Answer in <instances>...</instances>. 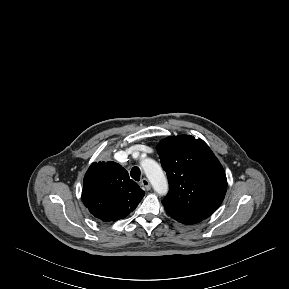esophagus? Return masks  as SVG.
I'll list each match as a JSON object with an SVG mask.
<instances>
[{"instance_id": "1", "label": "esophagus", "mask_w": 289, "mask_h": 289, "mask_svg": "<svg viewBox=\"0 0 289 289\" xmlns=\"http://www.w3.org/2000/svg\"><path fill=\"white\" fill-rule=\"evenodd\" d=\"M141 185L146 191H149L151 189V184H150L149 180L146 178L141 180Z\"/></svg>"}]
</instances>
